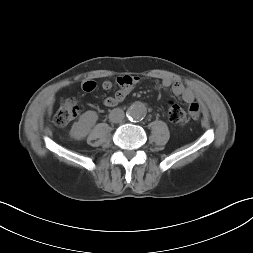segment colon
Wrapping results in <instances>:
<instances>
[{"label":"colon","mask_w":253,"mask_h":253,"mask_svg":"<svg viewBox=\"0 0 253 253\" xmlns=\"http://www.w3.org/2000/svg\"><path fill=\"white\" fill-rule=\"evenodd\" d=\"M80 115V107L75 98L64 99L54 116V123L59 127H64L75 120ZM167 116L170 122L177 125H186L189 121L184 113V109L177 104L170 103Z\"/></svg>","instance_id":"colon-1"}]
</instances>
